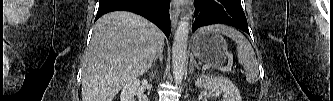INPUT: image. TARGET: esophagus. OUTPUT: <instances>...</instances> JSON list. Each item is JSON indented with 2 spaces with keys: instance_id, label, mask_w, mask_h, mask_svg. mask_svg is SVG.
Wrapping results in <instances>:
<instances>
[{
  "instance_id": "esophagus-1",
  "label": "esophagus",
  "mask_w": 333,
  "mask_h": 101,
  "mask_svg": "<svg viewBox=\"0 0 333 101\" xmlns=\"http://www.w3.org/2000/svg\"><path fill=\"white\" fill-rule=\"evenodd\" d=\"M179 14H180L179 4H178V2L173 1L171 3V7H170V17H171V24H172L173 28H175V26L178 22Z\"/></svg>"
}]
</instances>
